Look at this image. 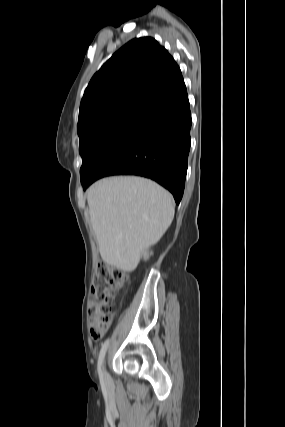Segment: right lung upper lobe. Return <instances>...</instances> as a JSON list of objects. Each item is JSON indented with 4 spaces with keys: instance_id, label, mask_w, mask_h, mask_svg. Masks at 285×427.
I'll return each instance as SVG.
<instances>
[{
    "instance_id": "cb5924a9",
    "label": "right lung upper lobe",
    "mask_w": 285,
    "mask_h": 427,
    "mask_svg": "<svg viewBox=\"0 0 285 427\" xmlns=\"http://www.w3.org/2000/svg\"><path fill=\"white\" fill-rule=\"evenodd\" d=\"M182 78L168 51L151 37L129 41L95 73L80 104L77 128L127 106H144Z\"/></svg>"
}]
</instances>
